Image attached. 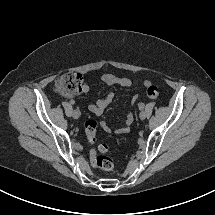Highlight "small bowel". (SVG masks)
Instances as JSON below:
<instances>
[{
  "mask_svg": "<svg viewBox=\"0 0 215 215\" xmlns=\"http://www.w3.org/2000/svg\"><path fill=\"white\" fill-rule=\"evenodd\" d=\"M101 80L103 81V83H105L106 85H118L120 87H124V88H128L131 87L133 82L131 79L126 78V77H117L113 74L110 73H105L102 75ZM149 82L146 81L145 85H148ZM89 90L88 85L84 84L83 85V92H87ZM138 98V95H134L133 96V102H135ZM114 100V94L113 93H108L107 95H105L104 97L96 100L94 103L90 104L88 106V110L96 115V116H100L105 109L113 102ZM133 123V117L132 114H129L126 116V118L124 119V122L122 124V126L116 130V132L119 133H124V134H128L130 132V128L131 125ZM102 128L106 131V132H113V130L105 123H102Z\"/></svg>",
  "mask_w": 215,
  "mask_h": 215,
  "instance_id": "1",
  "label": "small bowel"
}]
</instances>
